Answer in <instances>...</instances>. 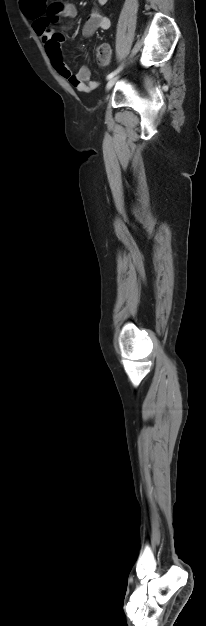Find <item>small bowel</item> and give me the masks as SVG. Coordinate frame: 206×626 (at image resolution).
I'll list each match as a JSON object with an SVG mask.
<instances>
[{
	"label": "small bowel",
	"instance_id": "c3829d8e",
	"mask_svg": "<svg viewBox=\"0 0 206 626\" xmlns=\"http://www.w3.org/2000/svg\"><path fill=\"white\" fill-rule=\"evenodd\" d=\"M107 0H96L89 13L88 19L83 26L82 35L87 38L97 30L110 28V20L99 12V6L105 5ZM25 14L33 21V29L44 43L46 53L56 71L66 79L77 91L89 93L99 86L98 81L91 80L88 67L82 66L76 73L68 67L61 53L64 36L60 31L51 28L61 19L71 20L76 17L77 10L72 3L55 2L46 4L44 0H37L31 6H25ZM69 29L63 25L61 30Z\"/></svg>",
	"mask_w": 206,
	"mask_h": 626
}]
</instances>
